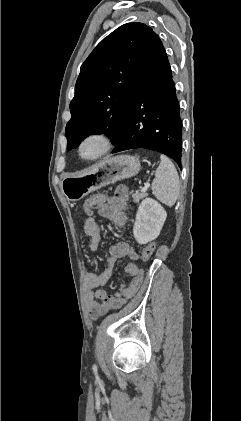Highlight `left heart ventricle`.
<instances>
[{
	"label": "left heart ventricle",
	"instance_id": "1",
	"mask_svg": "<svg viewBox=\"0 0 241 421\" xmlns=\"http://www.w3.org/2000/svg\"><path fill=\"white\" fill-rule=\"evenodd\" d=\"M99 149V143L97 141H89L85 144L83 152L86 155H92Z\"/></svg>",
	"mask_w": 241,
	"mask_h": 421
}]
</instances>
